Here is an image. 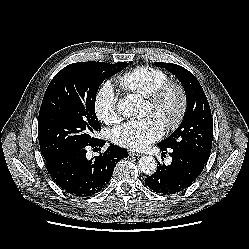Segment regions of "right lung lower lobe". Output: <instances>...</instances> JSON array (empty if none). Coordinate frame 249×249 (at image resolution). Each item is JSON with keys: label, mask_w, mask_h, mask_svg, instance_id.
Listing matches in <instances>:
<instances>
[{"label": "right lung lower lobe", "mask_w": 249, "mask_h": 249, "mask_svg": "<svg viewBox=\"0 0 249 249\" xmlns=\"http://www.w3.org/2000/svg\"><path fill=\"white\" fill-rule=\"evenodd\" d=\"M105 141L96 139L87 145L102 147ZM80 147L46 160V168L56 184L74 196H91L101 191L110 181L115 165L128 156L124 148L111 144L95 159L86 158V149Z\"/></svg>", "instance_id": "1"}]
</instances>
